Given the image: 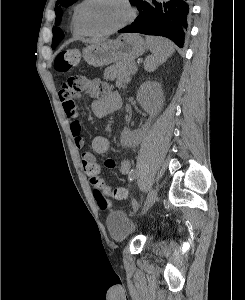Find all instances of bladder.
Segmentation results:
<instances>
[{
	"mask_svg": "<svg viewBox=\"0 0 245 300\" xmlns=\"http://www.w3.org/2000/svg\"><path fill=\"white\" fill-rule=\"evenodd\" d=\"M107 230L115 241H123L137 231L136 222L122 211H112L107 216Z\"/></svg>",
	"mask_w": 245,
	"mask_h": 300,
	"instance_id": "obj_1",
	"label": "bladder"
}]
</instances>
